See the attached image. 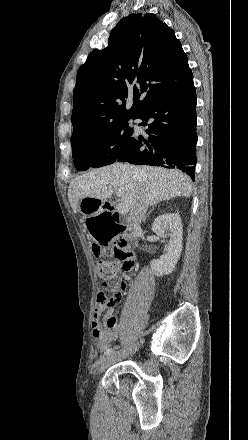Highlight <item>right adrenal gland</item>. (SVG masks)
<instances>
[{
    "label": "right adrenal gland",
    "instance_id": "obj_1",
    "mask_svg": "<svg viewBox=\"0 0 248 440\" xmlns=\"http://www.w3.org/2000/svg\"><path fill=\"white\" fill-rule=\"evenodd\" d=\"M154 210V207L149 211V213L144 217L143 221L145 222L150 213Z\"/></svg>",
    "mask_w": 248,
    "mask_h": 440
}]
</instances>
